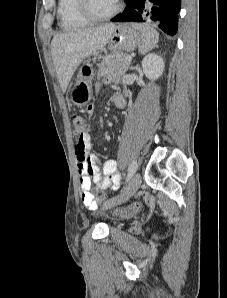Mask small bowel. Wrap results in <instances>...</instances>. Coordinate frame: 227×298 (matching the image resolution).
<instances>
[{"label":"small bowel","mask_w":227,"mask_h":298,"mask_svg":"<svg viewBox=\"0 0 227 298\" xmlns=\"http://www.w3.org/2000/svg\"><path fill=\"white\" fill-rule=\"evenodd\" d=\"M116 98L120 99L125 104L124 98L121 94L115 93L113 95V101ZM84 111L87 115L95 114L92 104H85ZM84 141L85 148L83 154L77 150L75 153L81 189V199L85 206L94 211L97 208V204L90 191L91 183H95V185L101 190L108 188L117 190L121 183V174L117 171L114 160L105 161L102 168H100L98 166V162L100 161L99 157L96 154L90 152L91 142L89 134L85 136Z\"/></svg>","instance_id":"c3829d8e"}]
</instances>
